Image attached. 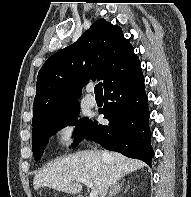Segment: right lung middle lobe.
<instances>
[{
    "label": "right lung middle lobe",
    "mask_w": 191,
    "mask_h": 197,
    "mask_svg": "<svg viewBox=\"0 0 191 197\" xmlns=\"http://www.w3.org/2000/svg\"><path fill=\"white\" fill-rule=\"evenodd\" d=\"M79 105L58 113L49 119L33 127L32 149L36 161L40 160L48 143L49 137L68 125L76 126L75 136L78 141L84 139L89 131L90 121L88 118L78 120ZM76 143L73 144L75 146Z\"/></svg>",
    "instance_id": "right-lung-middle-lobe-1"
}]
</instances>
